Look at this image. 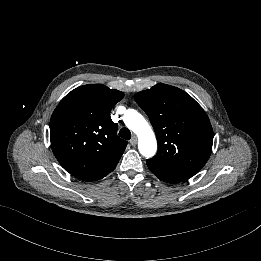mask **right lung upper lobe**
<instances>
[{
  "label": "right lung upper lobe",
  "instance_id": "cb5924a9",
  "mask_svg": "<svg viewBox=\"0 0 261 261\" xmlns=\"http://www.w3.org/2000/svg\"><path fill=\"white\" fill-rule=\"evenodd\" d=\"M123 96L103 84H86L69 92L54 109L51 149L73 177L97 180L119 161L127 142L117 138L110 111Z\"/></svg>",
  "mask_w": 261,
  "mask_h": 261
}]
</instances>
